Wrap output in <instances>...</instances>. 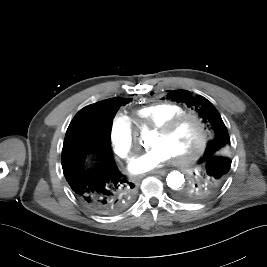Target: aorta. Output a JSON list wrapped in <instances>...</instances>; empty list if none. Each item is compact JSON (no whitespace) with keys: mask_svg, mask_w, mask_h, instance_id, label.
Segmentation results:
<instances>
[{"mask_svg":"<svg viewBox=\"0 0 267 267\" xmlns=\"http://www.w3.org/2000/svg\"><path fill=\"white\" fill-rule=\"evenodd\" d=\"M150 136H151V133L149 131L145 130L142 132V139L144 141H147ZM166 181H167V185L171 189L178 190L184 185L185 178L181 172L172 171L167 175Z\"/></svg>","mask_w":267,"mask_h":267,"instance_id":"1","label":"aorta"}]
</instances>
